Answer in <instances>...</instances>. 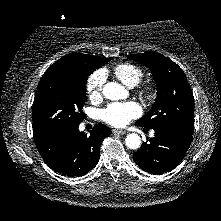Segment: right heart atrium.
Segmentation results:
<instances>
[{"instance_id":"right-heart-atrium-1","label":"right heart atrium","mask_w":221,"mask_h":221,"mask_svg":"<svg viewBox=\"0 0 221 221\" xmlns=\"http://www.w3.org/2000/svg\"><path fill=\"white\" fill-rule=\"evenodd\" d=\"M106 75L103 70L94 71L87 79L86 92L91 100H99L102 97Z\"/></svg>"}]
</instances>
